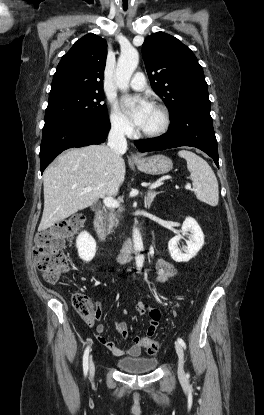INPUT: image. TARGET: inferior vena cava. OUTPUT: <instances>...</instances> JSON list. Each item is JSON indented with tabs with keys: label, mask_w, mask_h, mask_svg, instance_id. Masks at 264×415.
Wrapping results in <instances>:
<instances>
[{
	"label": "inferior vena cava",
	"mask_w": 264,
	"mask_h": 415,
	"mask_svg": "<svg viewBox=\"0 0 264 415\" xmlns=\"http://www.w3.org/2000/svg\"><path fill=\"white\" fill-rule=\"evenodd\" d=\"M108 147L113 151L115 156L120 159L121 154L127 150V141L125 138L124 126L122 123H114L108 135ZM119 186L113 185L112 194L118 193Z\"/></svg>",
	"instance_id": "1"
}]
</instances>
